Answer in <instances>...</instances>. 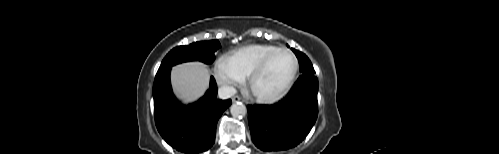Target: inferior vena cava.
<instances>
[{"mask_svg": "<svg viewBox=\"0 0 499 154\" xmlns=\"http://www.w3.org/2000/svg\"><path fill=\"white\" fill-rule=\"evenodd\" d=\"M236 94V89L233 86L223 85L218 89V96L221 99L231 98Z\"/></svg>", "mask_w": 499, "mask_h": 154, "instance_id": "1", "label": "inferior vena cava"}]
</instances>
